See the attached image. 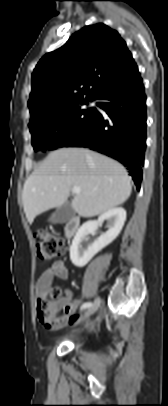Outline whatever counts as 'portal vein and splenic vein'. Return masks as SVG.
<instances>
[{"label":"portal vein and splenic vein","instance_id":"portal-vein-and-splenic-vein-1","mask_svg":"<svg viewBox=\"0 0 168 406\" xmlns=\"http://www.w3.org/2000/svg\"><path fill=\"white\" fill-rule=\"evenodd\" d=\"M72 192H73L74 194H79V193H81V188L75 186V187L72 188Z\"/></svg>","mask_w":168,"mask_h":406}]
</instances>
